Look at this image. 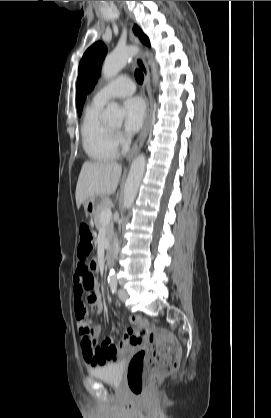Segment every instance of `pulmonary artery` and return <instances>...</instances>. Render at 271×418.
I'll use <instances>...</instances> for the list:
<instances>
[{
  "label": "pulmonary artery",
  "instance_id": "pulmonary-artery-1",
  "mask_svg": "<svg viewBox=\"0 0 271 418\" xmlns=\"http://www.w3.org/2000/svg\"><path fill=\"white\" fill-rule=\"evenodd\" d=\"M134 92V82L127 75H119L96 92L93 102L105 104L111 99L126 97Z\"/></svg>",
  "mask_w": 271,
  "mask_h": 418
}]
</instances>
